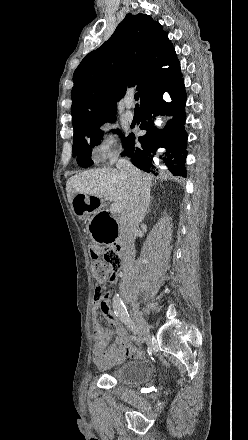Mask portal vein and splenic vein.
<instances>
[{
  "label": "portal vein and splenic vein",
  "mask_w": 248,
  "mask_h": 440,
  "mask_svg": "<svg viewBox=\"0 0 248 440\" xmlns=\"http://www.w3.org/2000/svg\"><path fill=\"white\" fill-rule=\"evenodd\" d=\"M111 210L113 212L120 213V212H122L123 207L121 204L114 202L111 204Z\"/></svg>",
  "instance_id": "1"
}]
</instances>
